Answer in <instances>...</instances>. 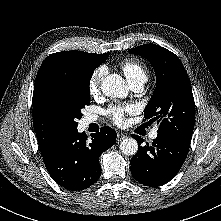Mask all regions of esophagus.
<instances>
[{
	"label": "esophagus",
	"mask_w": 221,
	"mask_h": 221,
	"mask_svg": "<svg viewBox=\"0 0 221 221\" xmlns=\"http://www.w3.org/2000/svg\"><path fill=\"white\" fill-rule=\"evenodd\" d=\"M125 137H126V135L123 132H118L117 133V141H121Z\"/></svg>",
	"instance_id": "obj_1"
}]
</instances>
